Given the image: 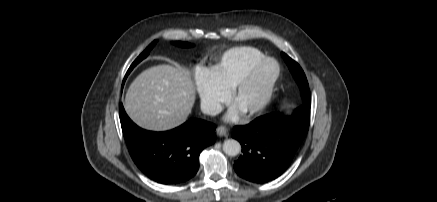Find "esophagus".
Here are the masks:
<instances>
[{"mask_svg": "<svg viewBox=\"0 0 437 202\" xmlns=\"http://www.w3.org/2000/svg\"><path fill=\"white\" fill-rule=\"evenodd\" d=\"M216 132L220 137L228 135V129L225 126H218Z\"/></svg>", "mask_w": 437, "mask_h": 202, "instance_id": "esophagus-1", "label": "esophagus"}]
</instances>
